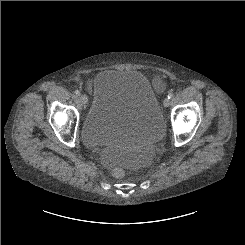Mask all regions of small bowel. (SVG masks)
I'll return each instance as SVG.
<instances>
[{
  "mask_svg": "<svg viewBox=\"0 0 245 245\" xmlns=\"http://www.w3.org/2000/svg\"><path fill=\"white\" fill-rule=\"evenodd\" d=\"M155 84H156V86H157V88H158L159 90L162 89L163 86H164L163 82L160 81V80H157V81L155 82Z\"/></svg>",
  "mask_w": 245,
  "mask_h": 245,
  "instance_id": "c3829d8e",
  "label": "small bowel"
}]
</instances>
